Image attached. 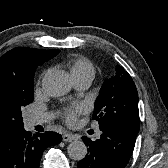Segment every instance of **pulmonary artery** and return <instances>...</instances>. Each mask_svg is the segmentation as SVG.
<instances>
[{"label": "pulmonary artery", "mask_w": 168, "mask_h": 168, "mask_svg": "<svg viewBox=\"0 0 168 168\" xmlns=\"http://www.w3.org/2000/svg\"><path fill=\"white\" fill-rule=\"evenodd\" d=\"M93 78L91 77H81L74 80V85L77 89L84 90L88 88L92 82ZM46 120L45 117H35L31 116L27 119V125L29 128H32L33 126L43 123ZM100 136V132L96 134V137L98 138Z\"/></svg>", "instance_id": "e3ab8cb5"}]
</instances>
